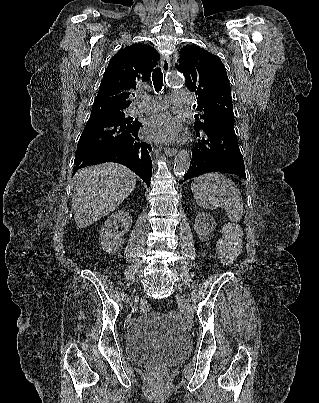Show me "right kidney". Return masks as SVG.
<instances>
[{"label":"right kidney","mask_w":319,"mask_h":403,"mask_svg":"<svg viewBox=\"0 0 319 403\" xmlns=\"http://www.w3.org/2000/svg\"><path fill=\"white\" fill-rule=\"evenodd\" d=\"M121 231H118V225ZM132 218L125 210L111 214L100 230V244L107 253L116 252L124 244V234L130 230Z\"/></svg>","instance_id":"obj_1"}]
</instances>
